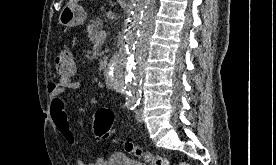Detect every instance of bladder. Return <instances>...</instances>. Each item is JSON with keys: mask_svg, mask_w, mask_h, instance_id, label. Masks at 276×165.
Masks as SVG:
<instances>
[{"mask_svg": "<svg viewBox=\"0 0 276 165\" xmlns=\"http://www.w3.org/2000/svg\"><path fill=\"white\" fill-rule=\"evenodd\" d=\"M110 165H146L145 163L132 159L124 154L116 155Z\"/></svg>", "mask_w": 276, "mask_h": 165, "instance_id": "1", "label": "bladder"}]
</instances>
